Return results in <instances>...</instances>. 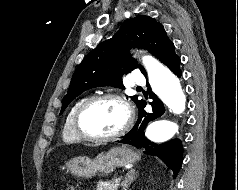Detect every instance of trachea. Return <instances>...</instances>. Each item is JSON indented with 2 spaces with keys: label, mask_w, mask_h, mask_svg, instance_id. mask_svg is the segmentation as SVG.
Wrapping results in <instances>:
<instances>
[{
  "label": "trachea",
  "mask_w": 238,
  "mask_h": 190,
  "mask_svg": "<svg viewBox=\"0 0 238 190\" xmlns=\"http://www.w3.org/2000/svg\"><path fill=\"white\" fill-rule=\"evenodd\" d=\"M137 89H141V87H137Z\"/></svg>",
  "instance_id": "trachea-1"
}]
</instances>
